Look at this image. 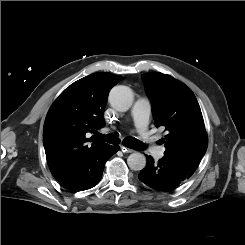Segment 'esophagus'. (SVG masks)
Masks as SVG:
<instances>
[{"label": "esophagus", "mask_w": 245, "mask_h": 245, "mask_svg": "<svg viewBox=\"0 0 245 245\" xmlns=\"http://www.w3.org/2000/svg\"><path fill=\"white\" fill-rule=\"evenodd\" d=\"M120 149H121V151H122L123 153H132V152H134V150H132V149H130V148H128V147H125V146H123V145L120 146Z\"/></svg>", "instance_id": "esophagus-1"}]
</instances>
